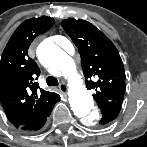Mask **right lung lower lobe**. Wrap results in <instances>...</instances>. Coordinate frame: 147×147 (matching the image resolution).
Segmentation results:
<instances>
[{
	"mask_svg": "<svg viewBox=\"0 0 147 147\" xmlns=\"http://www.w3.org/2000/svg\"><path fill=\"white\" fill-rule=\"evenodd\" d=\"M59 100L60 96L58 95L56 102H58ZM54 104L51 105L44 113L31 120L30 122L20 126L19 128L25 131H37L41 129L45 125L46 118L51 114Z\"/></svg>",
	"mask_w": 147,
	"mask_h": 147,
	"instance_id": "obj_1",
	"label": "right lung lower lobe"
}]
</instances>
